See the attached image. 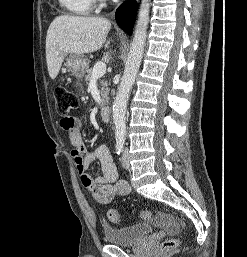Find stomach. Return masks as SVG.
Returning a JSON list of instances; mask_svg holds the SVG:
<instances>
[{
	"label": "stomach",
	"mask_w": 247,
	"mask_h": 257,
	"mask_svg": "<svg viewBox=\"0 0 247 257\" xmlns=\"http://www.w3.org/2000/svg\"><path fill=\"white\" fill-rule=\"evenodd\" d=\"M68 70L78 79H81L88 69V60L82 55L70 54L65 63Z\"/></svg>",
	"instance_id": "0dacf381"
}]
</instances>
